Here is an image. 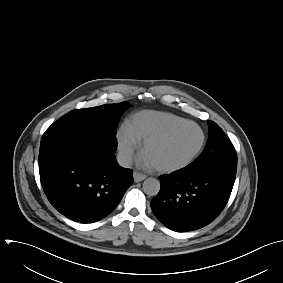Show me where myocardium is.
Here are the masks:
<instances>
[{
  "label": "myocardium",
  "mask_w": 283,
  "mask_h": 283,
  "mask_svg": "<svg viewBox=\"0 0 283 283\" xmlns=\"http://www.w3.org/2000/svg\"><path fill=\"white\" fill-rule=\"evenodd\" d=\"M183 125H193L195 126L200 134H201V139L200 142L197 146V148L195 149V151L184 161L176 164V165H172V166H165V167H159V166H153L154 170L161 173V174H172V173H176L179 172L185 168H187L188 166H190L201 154V152L204 149L205 143H206V134L205 131L203 130V128L196 122L192 121V120H183L177 123H174L170 126H168L167 128H165L164 130L160 131L159 133L150 136L148 138H146L145 140L142 141L141 143V153L144 155V151L146 149V147L152 143L161 141L163 139H165L170 133H172L174 130H176L177 128L183 126Z\"/></svg>",
  "instance_id": "1"
}]
</instances>
